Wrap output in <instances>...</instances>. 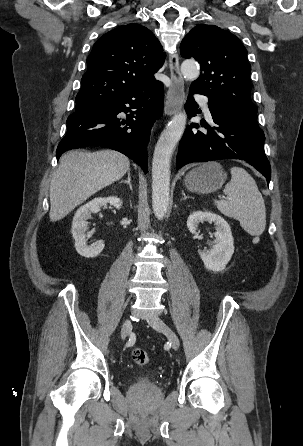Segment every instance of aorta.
Returning a JSON list of instances; mask_svg holds the SVG:
<instances>
[{
    "instance_id": "aorta-1",
    "label": "aorta",
    "mask_w": 303,
    "mask_h": 446,
    "mask_svg": "<svg viewBox=\"0 0 303 446\" xmlns=\"http://www.w3.org/2000/svg\"><path fill=\"white\" fill-rule=\"evenodd\" d=\"M181 72L188 80L198 78L199 65L192 60H185L181 65ZM187 114L179 112L167 124L155 146L152 160V206L158 220H162L169 206L170 192V161L173 151L181 139Z\"/></svg>"
}]
</instances>
